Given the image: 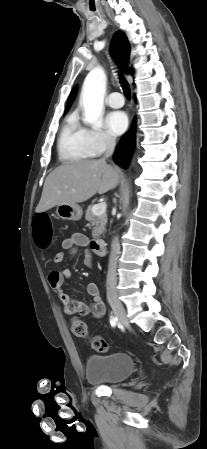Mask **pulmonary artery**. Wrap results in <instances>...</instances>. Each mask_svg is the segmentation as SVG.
Instances as JSON below:
<instances>
[{
  "label": "pulmonary artery",
  "mask_w": 207,
  "mask_h": 449,
  "mask_svg": "<svg viewBox=\"0 0 207 449\" xmlns=\"http://www.w3.org/2000/svg\"><path fill=\"white\" fill-rule=\"evenodd\" d=\"M106 103L112 108H120L124 105V98L119 92H112L107 97Z\"/></svg>",
  "instance_id": "1"
}]
</instances>
